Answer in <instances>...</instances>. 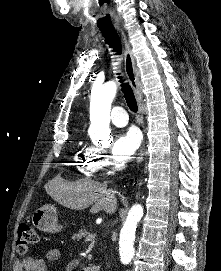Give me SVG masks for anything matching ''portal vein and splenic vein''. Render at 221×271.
<instances>
[{
  "label": "portal vein and splenic vein",
  "mask_w": 221,
  "mask_h": 271,
  "mask_svg": "<svg viewBox=\"0 0 221 271\" xmlns=\"http://www.w3.org/2000/svg\"><path fill=\"white\" fill-rule=\"evenodd\" d=\"M95 233L86 234L85 242H92V238H95Z\"/></svg>",
  "instance_id": "obj_1"
}]
</instances>
